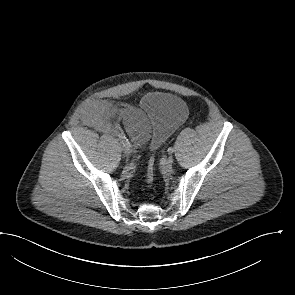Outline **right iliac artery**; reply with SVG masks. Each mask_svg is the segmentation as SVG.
<instances>
[{"instance_id":"obj_1","label":"right iliac artery","mask_w":295,"mask_h":295,"mask_svg":"<svg viewBox=\"0 0 295 295\" xmlns=\"http://www.w3.org/2000/svg\"><path fill=\"white\" fill-rule=\"evenodd\" d=\"M119 138H120V140H121V142H122V144L124 145V146H129L130 147V143L128 142V140L126 139V137H125V135H119Z\"/></svg>"}]
</instances>
